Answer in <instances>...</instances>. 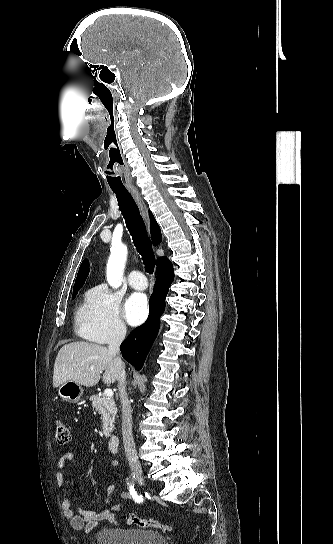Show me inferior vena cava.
<instances>
[{
  "mask_svg": "<svg viewBox=\"0 0 333 544\" xmlns=\"http://www.w3.org/2000/svg\"><path fill=\"white\" fill-rule=\"evenodd\" d=\"M126 335V328L119 327L111 335L108 348L109 352L116 356L119 355V347ZM119 363H122L120 356L116 357ZM118 390L122 410V435L126 458L131 468H140L135 443L132 435V415L131 406L126 392V375L124 367H121L118 374Z\"/></svg>",
  "mask_w": 333,
  "mask_h": 544,
  "instance_id": "1",
  "label": "inferior vena cava"
}]
</instances>
